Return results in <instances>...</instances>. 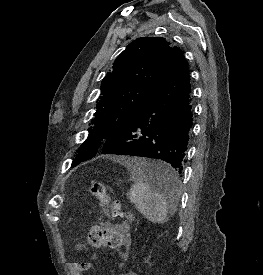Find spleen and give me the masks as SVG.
I'll use <instances>...</instances> for the list:
<instances>
[{"mask_svg":"<svg viewBox=\"0 0 263 275\" xmlns=\"http://www.w3.org/2000/svg\"><path fill=\"white\" fill-rule=\"evenodd\" d=\"M131 173L134 185L129 192V198L135 208L143 216L157 224H164L168 220V200L166 196L158 190H154L148 183L144 171L149 169L171 171L169 166L163 162L148 161L142 158H127L121 162ZM179 178L170 194L172 201L175 202L178 196L175 195L179 190ZM170 200V201H171Z\"/></svg>","mask_w":263,"mask_h":275,"instance_id":"obj_1","label":"spleen"}]
</instances>
